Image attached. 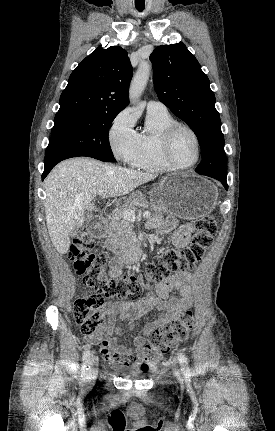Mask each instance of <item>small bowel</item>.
Instances as JSON below:
<instances>
[{"instance_id":"c3829d8e","label":"small bowel","mask_w":275,"mask_h":431,"mask_svg":"<svg viewBox=\"0 0 275 431\" xmlns=\"http://www.w3.org/2000/svg\"><path fill=\"white\" fill-rule=\"evenodd\" d=\"M148 226L157 228L161 234L171 233V239L175 247L185 248L194 231L193 225L185 222L178 225L173 219L160 221L152 218ZM121 266L115 262L111 264L109 275L117 277L121 275ZM191 276L187 272H177L160 282L155 293H149L138 301H119L107 303L104 306L106 323L104 328L94 336L87 337L89 343L98 345L104 358L112 364L137 365V358L144 353L146 336L153 329L162 328L178 320L188 310L192 300L190 286ZM178 293L179 297L174 296ZM157 311V316L148 322L137 334L130 345H118V339L123 336L122 326L117 324V318L129 329L135 325V321L143 316Z\"/></svg>"}]
</instances>
